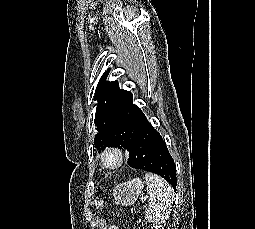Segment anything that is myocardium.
I'll use <instances>...</instances> for the list:
<instances>
[{"instance_id": "f54148a6", "label": "myocardium", "mask_w": 255, "mask_h": 229, "mask_svg": "<svg viewBox=\"0 0 255 229\" xmlns=\"http://www.w3.org/2000/svg\"><path fill=\"white\" fill-rule=\"evenodd\" d=\"M112 158V161H109L108 158ZM125 152L116 146H109L103 149L100 154V161L104 168L106 169H115L120 167L125 161Z\"/></svg>"}]
</instances>
